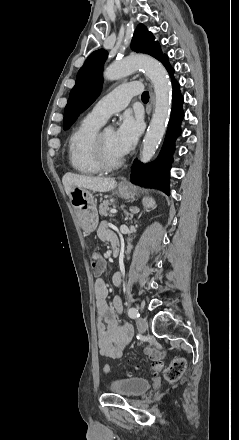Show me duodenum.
Masks as SVG:
<instances>
[{
	"label": "duodenum",
	"instance_id": "duodenum-1",
	"mask_svg": "<svg viewBox=\"0 0 239 440\" xmlns=\"http://www.w3.org/2000/svg\"><path fill=\"white\" fill-rule=\"evenodd\" d=\"M118 253H119L118 244L115 243V244H113V255H114V256H117Z\"/></svg>",
	"mask_w": 239,
	"mask_h": 440
}]
</instances>
